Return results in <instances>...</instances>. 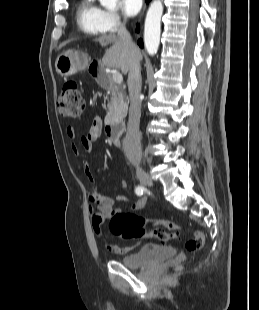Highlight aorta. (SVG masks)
<instances>
[{"mask_svg":"<svg viewBox=\"0 0 259 310\" xmlns=\"http://www.w3.org/2000/svg\"><path fill=\"white\" fill-rule=\"evenodd\" d=\"M107 9L114 10L118 0H99ZM163 4L161 0H154L146 15L144 28V43L149 55L157 53L160 43L161 17Z\"/></svg>","mask_w":259,"mask_h":310,"instance_id":"aorta-1","label":"aorta"}]
</instances>
